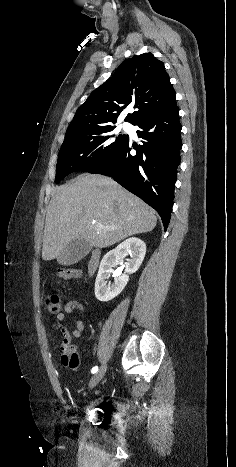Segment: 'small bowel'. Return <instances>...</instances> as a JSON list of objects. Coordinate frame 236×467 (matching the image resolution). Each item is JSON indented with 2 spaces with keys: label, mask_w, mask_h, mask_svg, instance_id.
<instances>
[{
  "label": "small bowel",
  "mask_w": 236,
  "mask_h": 467,
  "mask_svg": "<svg viewBox=\"0 0 236 467\" xmlns=\"http://www.w3.org/2000/svg\"><path fill=\"white\" fill-rule=\"evenodd\" d=\"M75 311H78L80 316L76 319L71 330L59 324L56 325V328L63 336L60 357L61 363L64 367L70 368L72 370H77L79 366L78 361L75 365H72L69 357L71 352L77 348V345L73 342V338L81 337L85 329V322L83 319L85 314L84 304L79 299H71L65 303L63 312L58 313L56 316L58 323H61L66 321V314H70Z\"/></svg>",
  "instance_id": "obj_1"
}]
</instances>
